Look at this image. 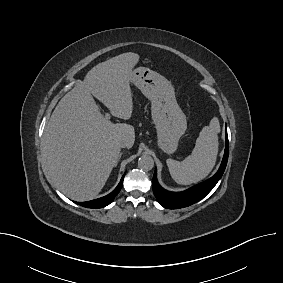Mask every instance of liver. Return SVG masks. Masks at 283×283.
<instances>
[{
  "mask_svg": "<svg viewBox=\"0 0 283 283\" xmlns=\"http://www.w3.org/2000/svg\"><path fill=\"white\" fill-rule=\"evenodd\" d=\"M139 55L128 52L97 64L57 104L43 135V157L58 189L75 201L94 198L104 187L120 156V141L131 148L132 125L112 123L94 98L117 118L133 111L129 85Z\"/></svg>",
  "mask_w": 283,
  "mask_h": 283,
  "instance_id": "obj_1",
  "label": "liver"
}]
</instances>
